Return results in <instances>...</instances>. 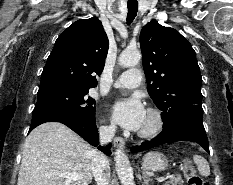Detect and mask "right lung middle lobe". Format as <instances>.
I'll list each match as a JSON object with an SVG mask.
<instances>
[{
	"instance_id": "obj_1",
	"label": "right lung middle lobe",
	"mask_w": 233,
	"mask_h": 185,
	"mask_svg": "<svg viewBox=\"0 0 233 185\" xmlns=\"http://www.w3.org/2000/svg\"><path fill=\"white\" fill-rule=\"evenodd\" d=\"M88 89L54 87L39 90L33 110L65 112L87 119L95 118V100L88 95Z\"/></svg>"
}]
</instances>
